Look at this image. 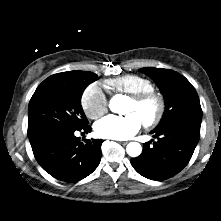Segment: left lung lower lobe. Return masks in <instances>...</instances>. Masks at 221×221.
<instances>
[{
  "label": "left lung lower lobe",
  "mask_w": 221,
  "mask_h": 221,
  "mask_svg": "<svg viewBox=\"0 0 221 221\" xmlns=\"http://www.w3.org/2000/svg\"><path fill=\"white\" fill-rule=\"evenodd\" d=\"M201 123L179 119L151 133L157 137L144 143L140 156L130 160L142 176L163 181L179 173L190 161L200 138Z\"/></svg>",
  "instance_id": "0a47b994"
}]
</instances>
